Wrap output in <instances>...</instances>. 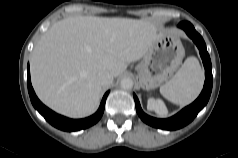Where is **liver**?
Segmentation results:
<instances>
[{
  "mask_svg": "<svg viewBox=\"0 0 238 158\" xmlns=\"http://www.w3.org/2000/svg\"><path fill=\"white\" fill-rule=\"evenodd\" d=\"M162 31L128 18L69 17L54 23L37 42L30 60L31 80L40 100L56 112L82 118L100 103L98 72L113 77L141 59Z\"/></svg>",
  "mask_w": 238,
  "mask_h": 158,
  "instance_id": "obj_1",
  "label": "liver"
}]
</instances>
